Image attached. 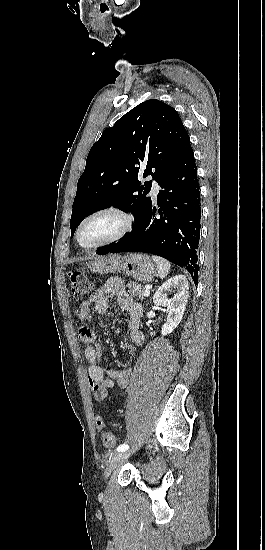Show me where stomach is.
I'll return each instance as SVG.
<instances>
[{
	"instance_id": "1",
	"label": "stomach",
	"mask_w": 265,
	"mask_h": 550,
	"mask_svg": "<svg viewBox=\"0 0 265 550\" xmlns=\"http://www.w3.org/2000/svg\"><path fill=\"white\" fill-rule=\"evenodd\" d=\"M94 273L108 274L122 271L137 281L150 282L156 273V265L146 254L95 256L86 263Z\"/></svg>"
}]
</instances>
